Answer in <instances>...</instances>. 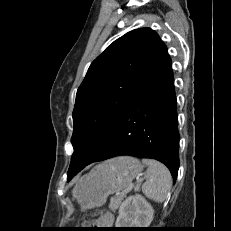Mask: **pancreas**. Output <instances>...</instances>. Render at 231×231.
Instances as JSON below:
<instances>
[{"label": "pancreas", "mask_w": 231, "mask_h": 231, "mask_svg": "<svg viewBox=\"0 0 231 231\" xmlns=\"http://www.w3.org/2000/svg\"><path fill=\"white\" fill-rule=\"evenodd\" d=\"M123 198H124V196H122V195L112 197L110 200L109 208L112 211L117 210L121 206Z\"/></svg>", "instance_id": "pancreas-1"}]
</instances>
